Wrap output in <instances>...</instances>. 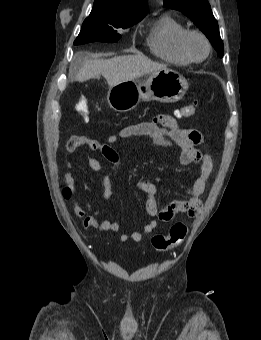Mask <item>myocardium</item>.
<instances>
[{
  "label": "myocardium",
  "mask_w": 261,
  "mask_h": 340,
  "mask_svg": "<svg viewBox=\"0 0 261 340\" xmlns=\"http://www.w3.org/2000/svg\"><path fill=\"white\" fill-rule=\"evenodd\" d=\"M192 36H198L200 37L205 45H206V53L205 55L202 57V58H195L192 56V54L189 52L188 50V40L190 37ZM179 46H180V49L182 51V53L191 61V62H202L204 61L210 54L211 52V43L208 39V37L200 30H197V29H188L186 30L181 38H180V41H179Z\"/></svg>",
  "instance_id": "1"
}]
</instances>
